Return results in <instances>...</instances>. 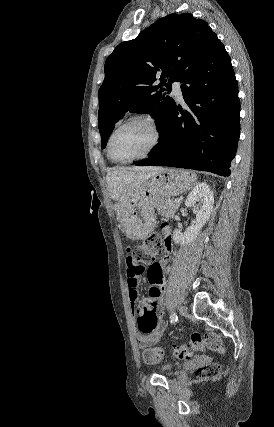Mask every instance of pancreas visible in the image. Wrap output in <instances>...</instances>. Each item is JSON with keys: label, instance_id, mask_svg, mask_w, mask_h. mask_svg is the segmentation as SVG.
I'll return each mask as SVG.
<instances>
[{"label": "pancreas", "instance_id": "1", "mask_svg": "<svg viewBox=\"0 0 274 427\" xmlns=\"http://www.w3.org/2000/svg\"><path fill=\"white\" fill-rule=\"evenodd\" d=\"M158 214L164 215V217H174L176 214L179 204H176L174 200H159L156 204Z\"/></svg>", "mask_w": 274, "mask_h": 427}]
</instances>
